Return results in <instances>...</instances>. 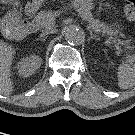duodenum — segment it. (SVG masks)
Wrapping results in <instances>:
<instances>
[{"mask_svg": "<svg viewBox=\"0 0 135 135\" xmlns=\"http://www.w3.org/2000/svg\"><path fill=\"white\" fill-rule=\"evenodd\" d=\"M31 21H22L15 24L13 21H5L2 28L6 36L11 39H20L28 35L33 29Z\"/></svg>", "mask_w": 135, "mask_h": 135, "instance_id": "obj_1", "label": "duodenum"}]
</instances>
